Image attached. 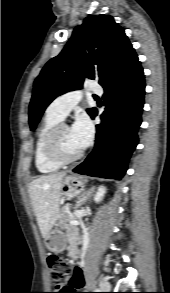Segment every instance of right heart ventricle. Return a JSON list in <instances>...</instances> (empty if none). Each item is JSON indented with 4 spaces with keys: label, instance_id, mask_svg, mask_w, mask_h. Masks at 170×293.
<instances>
[{
    "label": "right heart ventricle",
    "instance_id": "e07e8e85",
    "mask_svg": "<svg viewBox=\"0 0 170 293\" xmlns=\"http://www.w3.org/2000/svg\"><path fill=\"white\" fill-rule=\"evenodd\" d=\"M61 120L53 115L45 114V117L40 124L37 132L36 142L34 147V159L37 170L41 173L47 174L57 171L61 165L52 162L46 155L45 146L48 135L52 128Z\"/></svg>",
    "mask_w": 170,
    "mask_h": 293
}]
</instances>
